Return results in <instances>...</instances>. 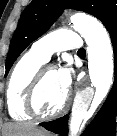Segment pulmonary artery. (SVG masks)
<instances>
[{
    "instance_id": "pulmonary-artery-1",
    "label": "pulmonary artery",
    "mask_w": 117,
    "mask_h": 136,
    "mask_svg": "<svg viewBox=\"0 0 117 136\" xmlns=\"http://www.w3.org/2000/svg\"><path fill=\"white\" fill-rule=\"evenodd\" d=\"M81 45V38L77 32L60 29L35 41L31 51L44 61H48L55 52L69 49L79 50Z\"/></svg>"
}]
</instances>
